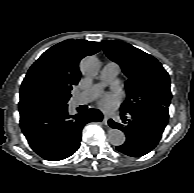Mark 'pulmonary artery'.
<instances>
[{
  "label": "pulmonary artery",
  "instance_id": "pulmonary-artery-1",
  "mask_svg": "<svg viewBox=\"0 0 194 193\" xmlns=\"http://www.w3.org/2000/svg\"><path fill=\"white\" fill-rule=\"evenodd\" d=\"M120 67L115 62H108L104 65L101 71V82L94 84L86 90L80 92L75 98V104L81 105L91 102L101 92L104 85L111 82L119 73Z\"/></svg>",
  "mask_w": 194,
  "mask_h": 193
}]
</instances>
